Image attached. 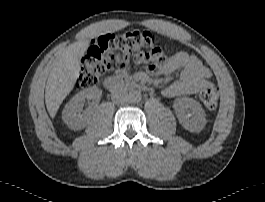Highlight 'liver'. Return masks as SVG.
I'll use <instances>...</instances> for the list:
<instances>
[{
    "label": "liver",
    "instance_id": "6515ba94",
    "mask_svg": "<svg viewBox=\"0 0 265 202\" xmlns=\"http://www.w3.org/2000/svg\"><path fill=\"white\" fill-rule=\"evenodd\" d=\"M89 43V40L75 42L57 56L45 90V103L52 118L56 116L61 103L75 86L80 73V60Z\"/></svg>",
    "mask_w": 265,
    "mask_h": 202
}]
</instances>
